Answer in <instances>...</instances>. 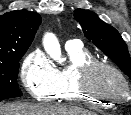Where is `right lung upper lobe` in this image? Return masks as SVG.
I'll return each instance as SVG.
<instances>
[{"label": "right lung upper lobe", "mask_w": 131, "mask_h": 115, "mask_svg": "<svg viewBox=\"0 0 131 115\" xmlns=\"http://www.w3.org/2000/svg\"><path fill=\"white\" fill-rule=\"evenodd\" d=\"M41 23L36 12L15 10L0 16V61L27 50Z\"/></svg>", "instance_id": "right-lung-upper-lobe-1"}]
</instances>
